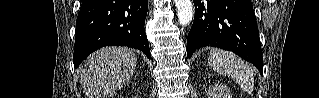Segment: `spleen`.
<instances>
[{
  "mask_svg": "<svg viewBox=\"0 0 319 98\" xmlns=\"http://www.w3.org/2000/svg\"><path fill=\"white\" fill-rule=\"evenodd\" d=\"M209 65L219 74L233 78L246 92H252L254 85L253 68L235 54L214 49L208 57Z\"/></svg>",
  "mask_w": 319,
  "mask_h": 98,
  "instance_id": "3e777b00",
  "label": "spleen"
}]
</instances>
